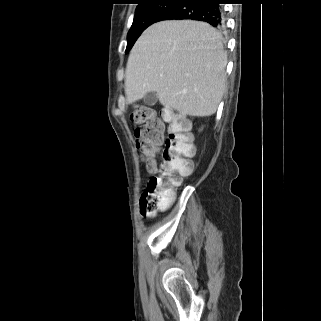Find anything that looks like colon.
Returning a JSON list of instances; mask_svg holds the SVG:
<instances>
[{
  "label": "colon",
  "instance_id": "1",
  "mask_svg": "<svg viewBox=\"0 0 321 321\" xmlns=\"http://www.w3.org/2000/svg\"><path fill=\"white\" fill-rule=\"evenodd\" d=\"M131 119L138 124L134 131L136 146L152 174L140 200L142 214L151 216L171 204L173 188L180 184L182 177L192 173L195 148L188 124L177 113L166 112L162 120L149 107L138 106L131 112ZM162 145L164 148L158 161L156 156Z\"/></svg>",
  "mask_w": 321,
  "mask_h": 321
}]
</instances>
